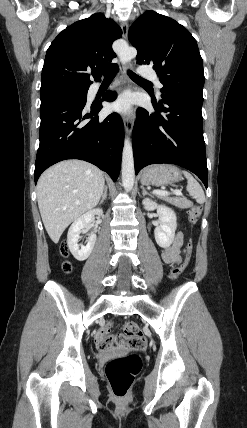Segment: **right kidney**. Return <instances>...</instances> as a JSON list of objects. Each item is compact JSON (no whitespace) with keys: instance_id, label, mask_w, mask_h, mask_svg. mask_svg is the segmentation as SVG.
I'll return each mask as SVG.
<instances>
[{"instance_id":"1","label":"right kidney","mask_w":247,"mask_h":428,"mask_svg":"<svg viewBox=\"0 0 247 428\" xmlns=\"http://www.w3.org/2000/svg\"><path fill=\"white\" fill-rule=\"evenodd\" d=\"M103 214V210L100 208L93 209L81 217H79L74 223L70 226L68 234H67V244L72 253V255L78 261L86 260L91 254L95 242H96V234L91 233L88 238V242L86 246L78 244L80 233L83 228L89 226V224L95 219V216H101Z\"/></svg>"}]
</instances>
